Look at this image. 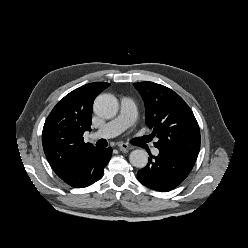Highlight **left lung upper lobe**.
<instances>
[{"mask_svg": "<svg viewBox=\"0 0 248 248\" xmlns=\"http://www.w3.org/2000/svg\"><path fill=\"white\" fill-rule=\"evenodd\" d=\"M146 108V124L159 150L169 151L192 159L200 149V130L197 120L185 101L173 90L153 82L134 83Z\"/></svg>", "mask_w": 248, "mask_h": 248, "instance_id": "obj_1", "label": "left lung upper lobe"}]
</instances>
